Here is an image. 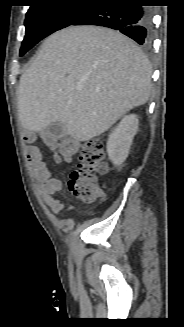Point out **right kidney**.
<instances>
[{
    "label": "right kidney",
    "mask_w": 184,
    "mask_h": 327,
    "mask_svg": "<svg viewBox=\"0 0 184 327\" xmlns=\"http://www.w3.org/2000/svg\"><path fill=\"white\" fill-rule=\"evenodd\" d=\"M138 126L139 120L137 115H126L110 134L107 142V153L114 165L122 164L128 157L133 138L138 131Z\"/></svg>",
    "instance_id": "1"
}]
</instances>
